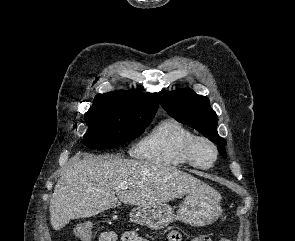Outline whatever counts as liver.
I'll return each instance as SVG.
<instances>
[{
  "mask_svg": "<svg viewBox=\"0 0 295 241\" xmlns=\"http://www.w3.org/2000/svg\"><path fill=\"white\" fill-rule=\"evenodd\" d=\"M119 185L127 188L116 190ZM210 189L173 166L117 156L74 158L64 168L50 200V221L60 230L71 220L119 206L163 204Z\"/></svg>",
  "mask_w": 295,
  "mask_h": 241,
  "instance_id": "obj_1",
  "label": "liver"
}]
</instances>
